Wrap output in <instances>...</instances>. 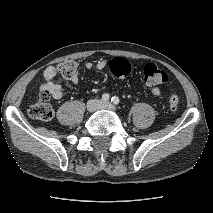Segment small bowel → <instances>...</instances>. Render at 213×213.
Masks as SVG:
<instances>
[{"label": "small bowel", "mask_w": 213, "mask_h": 213, "mask_svg": "<svg viewBox=\"0 0 213 213\" xmlns=\"http://www.w3.org/2000/svg\"><path fill=\"white\" fill-rule=\"evenodd\" d=\"M108 65V61L106 59H101L96 63L88 62L85 67L88 70L96 68L97 70H103ZM57 74V68L55 66H48L43 73L44 82L41 85V89L43 91L49 92V94L56 100L61 99L63 97V88L62 86L54 81V78ZM73 82L78 80L77 76L71 79ZM151 93L154 96L160 95V90L157 87H153L151 89Z\"/></svg>", "instance_id": "obj_1"}]
</instances>
